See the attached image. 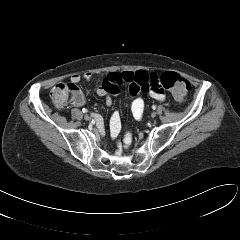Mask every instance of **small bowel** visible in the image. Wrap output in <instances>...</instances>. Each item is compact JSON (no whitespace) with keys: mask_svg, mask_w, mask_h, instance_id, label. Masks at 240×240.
I'll list each match as a JSON object with an SVG mask.
<instances>
[{"mask_svg":"<svg viewBox=\"0 0 240 240\" xmlns=\"http://www.w3.org/2000/svg\"><path fill=\"white\" fill-rule=\"evenodd\" d=\"M81 78L89 81L92 79L91 73H85L83 76L79 74H72L70 81L78 83ZM126 84L129 93L134 97L131 110L133 117L140 121L144 115L145 103L141 97H138L140 92L148 93L152 98L158 101H164L166 98L164 88L160 83V76L155 72H147L144 70L139 71H125V72H111L108 73L102 80V84L96 89L98 96L104 98L107 105L112 104L113 96L119 93L120 86ZM85 102L84 96L81 94L78 98L72 101L74 106H82ZM98 128L103 130V119L101 116L94 115ZM111 131L112 135H117L120 130V115L115 111L111 117Z\"/></svg>","mask_w":240,"mask_h":240,"instance_id":"small-bowel-1","label":"small bowel"}]
</instances>
